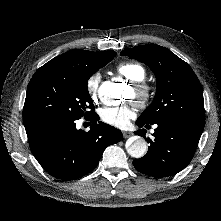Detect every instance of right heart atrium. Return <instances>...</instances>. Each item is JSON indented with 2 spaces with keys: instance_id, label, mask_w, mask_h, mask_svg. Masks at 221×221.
<instances>
[{
  "instance_id": "1",
  "label": "right heart atrium",
  "mask_w": 221,
  "mask_h": 221,
  "mask_svg": "<svg viewBox=\"0 0 221 221\" xmlns=\"http://www.w3.org/2000/svg\"><path fill=\"white\" fill-rule=\"evenodd\" d=\"M101 81L102 76L99 72L92 73L86 80V90L93 100L97 98Z\"/></svg>"
}]
</instances>
